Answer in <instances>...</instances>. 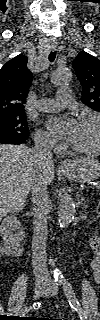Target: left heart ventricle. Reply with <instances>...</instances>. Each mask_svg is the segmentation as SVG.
Instances as JSON below:
<instances>
[{
	"label": "left heart ventricle",
	"instance_id": "left-heart-ventricle-1",
	"mask_svg": "<svg viewBox=\"0 0 100 320\" xmlns=\"http://www.w3.org/2000/svg\"><path fill=\"white\" fill-rule=\"evenodd\" d=\"M97 134L98 129L95 122H79L71 145L78 148H92L96 145Z\"/></svg>",
	"mask_w": 100,
	"mask_h": 320
}]
</instances>
